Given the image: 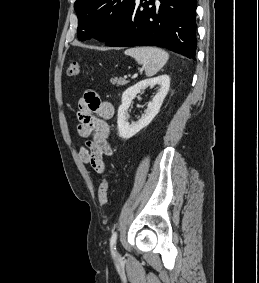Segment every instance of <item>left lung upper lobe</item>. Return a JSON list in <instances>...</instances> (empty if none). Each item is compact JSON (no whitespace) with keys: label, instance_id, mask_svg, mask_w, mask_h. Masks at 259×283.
Here are the masks:
<instances>
[{"label":"left lung upper lobe","instance_id":"obj_1","mask_svg":"<svg viewBox=\"0 0 259 283\" xmlns=\"http://www.w3.org/2000/svg\"><path fill=\"white\" fill-rule=\"evenodd\" d=\"M133 0H76L78 39L106 42L120 27Z\"/></svg>","mask_w":259,"mask_h":283}]
</instances>
